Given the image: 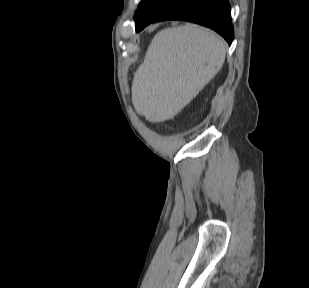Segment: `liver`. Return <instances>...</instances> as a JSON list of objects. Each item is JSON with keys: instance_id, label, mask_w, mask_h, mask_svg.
Returning <instances> with one entry per match:
<instances>
[{"instance_id": "obj_1", "label": "liver", "mask_w": 309, "mask_h": 288, "mask_svg": "<svg viewBox=\"0 0 309 288\" xmlns=\"http://www.w3.org/2000/svg\"><path fill=\"white\" fill-rule=\"evenodd\" d=\"M226 51L219 35L196 24L158 32L134 74L136 112L153 123L173 119L220 71Z\"/></svg>"}]
</instances>
